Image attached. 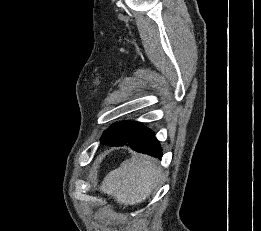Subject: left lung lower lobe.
<instances>
[{"instance_id":"obj_1","label":"left lung lower lobe","mask_w":261,"mask_h":231,"mask_svg":"<svg viewBox=\"0 0 261 231\" xmlns=\"http://www.w3.org/2000/svg\"><path fill=\"white\" fill-rule=\"evenodd\" d=\"M110 146H122L128 145L137 152L148 154L155 158L162 157V149L160 143L155 137V134L151 131L148 136L143 139L124 138L119 141H114L108 144Z\"/></svg>"}]
</instances>
